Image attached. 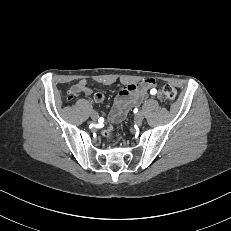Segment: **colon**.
I'll list each match as a JSON object with an SVG mask.
<instances>
[{"mask_svg":"<svg viewBox=\"0 0 231 231\" xmlns=\"http://www.w3.org/2000/svg\"><path fill=\"white\" fill-rule=\"evenodd\" d=\"M162 93L169 100H174L176 98V96H177L176 89L173 86L169 85V84H166V85H164L162 87ZM75 96H76L75 94L70 93L71 98H73ZM113 130H114V125H113V123H111L105 128V130L103 131V135L106 138L111 139L112 135H113Z\"/></svg>","mask_w":231,"mask_h":231,"instance_id":"5ec220e1","label":"colon"}]
</instances>
